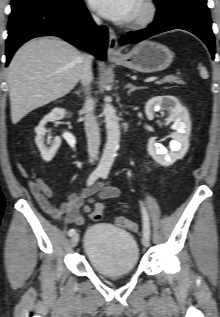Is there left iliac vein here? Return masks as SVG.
Masks as SVG:
<instances>
[{"instance_id":"left-iliac-vein-1","label":"left iliac vein","mask_w":220,"mask_h":317,"mask_svg":"<svg viewBox=\"0 0 220 317\" xmlns=\"http://www.w3.org/2000/svg\"><path fill=\"white\" fill-rule=\"evenodd\" d=\"M142 244H143L144 247H149V246H150L149 238L143 236V238H142Z\"/></svg>"}]
</instances>
